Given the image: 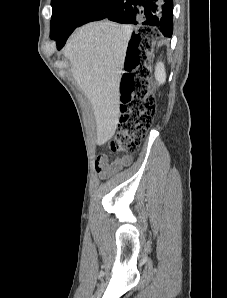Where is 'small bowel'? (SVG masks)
<instances>
[{
    "label": "small bowel",
    "instance_id": "c3829d8e",
    "mask_svg": "<svg viewBox=\"0 0 227 298\" xmlns=\"http://www.w3.org/2000/svg\"><path fill=\"white\" fill-rule=\"evenodd\" d=\"M131 162L132 157L130 155H122L118 158L110 160L107 154L100 153L97 155L95 165L97 171L102 176L106 177L130 165Z\"/></svg>",
    "mask_w": 227,
    "mask_h": 298
}]
</instances>
